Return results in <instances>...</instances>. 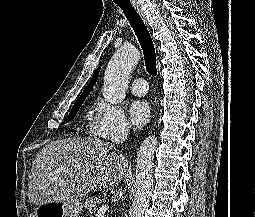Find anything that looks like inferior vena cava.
Masks as SVG:
<instances>
[{"label":"inferior vena cava","mask_w":255,"mask_h":217,"mask_svg":"<svg viewBox=\"0 0 255 217\" xmlns=\"http://www.w3.org/2000/svg\"><path fill=\"white\" fill-rule=\"evenodd\" d=\"M128 134V129L126 127H122L114 137L113 141L117 144L123 143L127 140Z\"/></svg>","instance_id":"inferior-vena-cava-1"}]
</instances>
